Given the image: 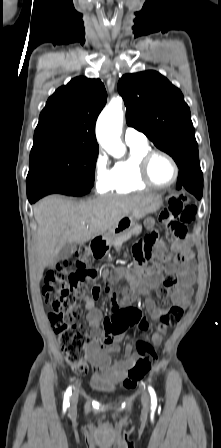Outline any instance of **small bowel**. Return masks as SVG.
<instances>
[{
	"label": "small bowel",
	"mask_w": 221,
	"mask_h": 448,
	"mask_svg": "<svg viewBox=\"0 0 221 448\" xmlns=\"http://www.w3.org/2000/svg\"><path fill=\"white\" fill-rule=\"evenodd\" d=\"M147 227L153 231V222L147 221ZM155 256L159 260L165 253V242L163 240H156L153 244ZM191 247V241L186 237L184 239H178L173 242L172 253L166 257L167 264L164 268L154 267L149 269H143L142 264L140 270L144 271V280L139 282L133 280L131 284L126 287L121 294V299H116L112 302L111 316L105 318L102 311L97 306V300L100 296V288L96 286L91 296L85 295L81 297V302L84 304L87 315L86 319L90 326L94 340L87 346V357L96 372L105 374L109 380L114 383H121L131 366L139 358V354L133 353L132 347L127 345L124 350V358L117 359L111 358L110 353L116 354L119 351L118 342L124 336L129 326H123V322L127 320L125 310L131 306L134 302L137 290L140 286H145L151 290L159 287L163 283L162 272L173 273L176 272L179 278L177 286H175L170 293L171 305L180 306L186 308L189 304L191 296V286L194 282V273L192 265L188 260L177 262L178 255L189 253ZM116 276H106V279L110 282L116 280ZM147 311L156 319L157 324L159 318L163 315L167 309L161 308L155 304V302L149 298L146 301ZM102 323H109L112 330H101ZM161 335H154L152 342L155 346H159L162 343L163 336L167 333V327H161Z\"/></svg>",
	"instance_id": "1"
}]
</instances>
